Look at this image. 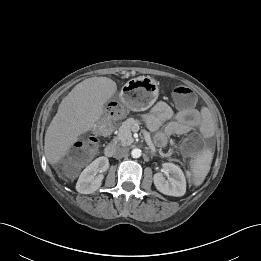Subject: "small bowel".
Masks as SVG:
<instances>
[{"label":"small bowel","instance_id":"c3829d8e","mask_svg":"<svg viewBox=\"0 0 261 261\" xmlns=\"http://www.w3.org/2000/svg\"><path fill=\"white\" fill-rule=\"evenodd\" d=\"M143 120L151 131H158L166 123L164 131H158L154 136L155 144L164 147L169 136L180 135L198 129L204 137L213 135V121L207 111L189 108L174 113L171 106L164 102H157L151 111L144 115Z\"/></svg>","mask_w":261,"mask_h":261}]
</instances>
